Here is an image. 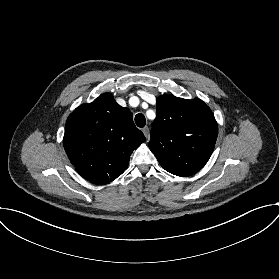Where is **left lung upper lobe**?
I'll return each mask as SVG.
<instances>
[{
    "label": "left lung upper lobe",
    "mask_w": 279,
    "mask_h": 279,
    "mask_svg": "<svg viewBox=\"0 0 279 279\" xmlns=\"http://www.w3.org/2000/svg\"><path fill=\"white\" fill-rule=\"evenodd\" d=\"M149 148L166 171L177 176L198 172L209 160L218 135L210 108L200 99L173 95L157 99Z\"/></svg>",
    "instance_id": "5c2ea615"
}]
</instances>
